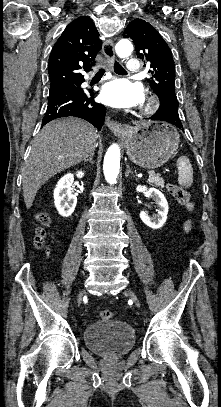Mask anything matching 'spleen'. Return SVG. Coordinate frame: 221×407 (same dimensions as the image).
<instances>
[{"instance_id":"1","label":"spleen","mask_w":221,"mask_h":407,"mask_svg":"<svg viewBox=\"0 0 221 407\" xmlns=\"http://www.w3.org/2000/svg\"><path fill=\"white\" fill-rule=\"evenodd\" d=\"M178 183L184 188H190L193 183V169L189 159L185 156L177 160Z\"/></svg>"}]
</instances>
